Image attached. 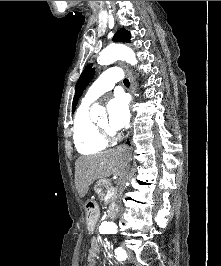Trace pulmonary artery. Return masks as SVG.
I'll use <instances>...</instances> for the list:
<instances>
[{
	"label": "pulmonary artery",
	"instance_id": "1",
	"mask_svg": "<svg viewBox=\"0 0 221 266\" xmlns=\"http://www.w3.org/2000/svg\"><path fill=\"white\" fill-rule=\"evenodd\" d=\"M122 79V73L118 67H110L104 71L99 78L88 89L82 104L89 106L105 92L110 91L116 82Z\"/></svg>",
	"mask_w": 221,
	"mask_h": 266
}]
</instances>
